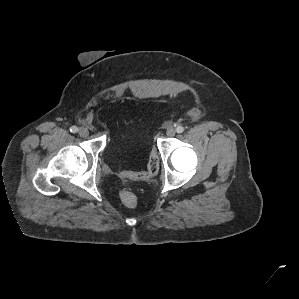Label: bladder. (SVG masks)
I'll return each instance as SVG.
<instances>
[{
	"instance_id": "1",
	"label": "bladder",
	"mask_w": 299,
	"mask_h": 299,
	"mask_svg": "<svg viewBox=\"0 0 299 299\" xmlns=\"http://www.w3.org/2000/svg\"><path fill=\"white\" fill-rule=\"evenodd\" d=\"M121 138H126L129 142V146L131 147H141L143 145V138L140 134L128 135L123 133L122 131L117 130L115 135L111 138L108 143V147L110 149H116L118 146V142Z\"/></svg>"
}]
</instances>
